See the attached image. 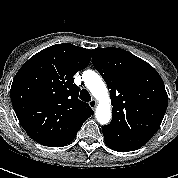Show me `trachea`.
<instances>
[{"instance_id": "trachea-1", "label": "trachea", "mask_w": 178, "mask_h": 178, "mask_svg": "<svg viewBox=\"0 0 178 178\" xmlns=\"http://www.w3.org/2000/svg\"><path fill=\"white\" fill-rule=\"evenodd\" d=\"M79 98L85 102H89L91 100V95L89 94V92L86 89H83L80 92Z\"/></svg>"}]
</instances>
